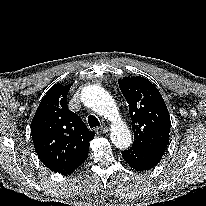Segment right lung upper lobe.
Segmentation results:
<instances>
[{"instance_id": "cb5924a9", "label": "right lung upper lobe", "mask_w": 206, "mask_h": 206, "mask_svg": "<svg viewBox=\"0 0 206 206\" xmlns=\"http://www.w3.org/2000/svg\"><path fill=\"white\" fill-rule=\"evenodd\" d=\"M71 85H54L43 97L31 125V136L41 161L54 172L70 173L88 155L94 133L70 111L67 95Z\"/></svg>"}]
</instances>
